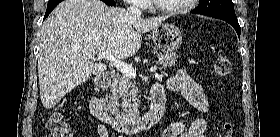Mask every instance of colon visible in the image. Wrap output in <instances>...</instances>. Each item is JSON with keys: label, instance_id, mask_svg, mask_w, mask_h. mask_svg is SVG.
<instances>
[{"label": "colon", "instance_id": "obj_1", "mask_svg": "<svg viewBox=\"0 0 280 137\" xmlns=\"http://www.w3.org/2000/svg\"><path fill=\"white\" fill-rule=\"evenodd\" d=\"M232 70V64L228 57L220 56L214 65V72L221 77H228ZM48 137H72L70 126L64 119L62 114L54 111L48 118L46 123ZM226 136L233 137L234 124L227 122L225 125Z\"/></svg>", "mask_w": 280, "mask_h": 137}]
</instances>
